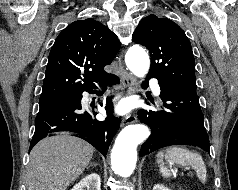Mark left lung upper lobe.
I'll return each mask as SVG.
<instances>
[{
	"mask_svg": "<svg viewBox=\"0 0 238 190\" xmlns=\"http://www.w3.org/2000/svg\"><path fill=\"white\" fill-rule=\"evenodd\" d=\"M132 40L150 51L149 77L169 87L196 91L192 47L176 23L151 14L140 21Z\"/></svg>",
	"mask_w": 238,
	"mask_h": 190,
	"instance_id": "5c2ea615",
	"label": "left lung upper lobe"
}]
</instances>
